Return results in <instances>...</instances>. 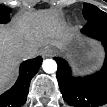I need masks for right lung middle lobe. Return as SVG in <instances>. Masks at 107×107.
Here are the masks:
<instances>
[{"instance_id":"obj_1","label":"right lung middle lobe","mask_w":107,"mask_h":107,"mask_svg":"<svg viewBox=\"0 0 107 107\" xmlns=\"http://www.w3.org/2000/svg\"><path fill=\"white\" fill-rule=\"evenodd\" d=\"M10 9L5 6H0V23H7L10 20L9 13Z\"/></svg>"}]
</instances>
